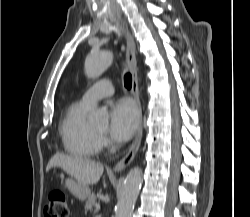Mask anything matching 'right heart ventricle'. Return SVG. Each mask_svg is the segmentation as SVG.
I'll return each mask as SVG.
<instances>
[{
	"mask_svg": "<svg viewBox=\"0 0 250 217\" xmlns=\"http://www.w3.org/2000/svg\"><path fill=\"white\" fill-rule=\"evenodd\" d=\"M90 106L82 101L71 103L59 125L64 150L80 158H91L100 151L99 136L87 120Z\"/></svg>",
	"mask_w": 250,
	"mask_h": 217,
	"instance_id": "right-heart-ventricle-1",
	"label": "right heart ventricle"
}]
</instances>
